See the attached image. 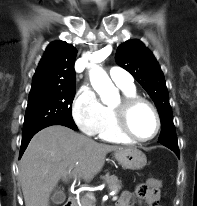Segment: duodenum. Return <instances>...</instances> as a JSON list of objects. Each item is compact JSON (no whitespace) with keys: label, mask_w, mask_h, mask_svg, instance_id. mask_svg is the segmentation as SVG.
<instances>
[{"label":"duodenum","mask_w":197,"mask_h":206,"mask_svg":"<svg viewBox=\"0 0 197 206\" xmlns=\"http://www.w3.org/2000/svg\"><path fill=\"white\" fill-rule=\"evenodd\" d=\"M64 206H76V199L74 197H70L64 204Z\"/></svg>","instance_id":"410a0bca"}]
</instances>
